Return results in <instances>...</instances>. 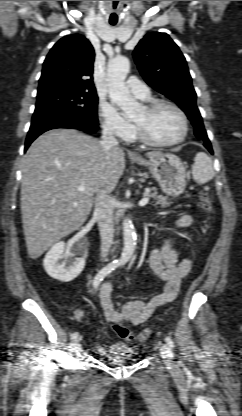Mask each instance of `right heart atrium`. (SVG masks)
<instances>
[{
	"instance_id": "right-heart-atrium-1",
	"label": "right heart atrium",
	"mask_w": 242,
	"mask_h": 416,
	"mask_svg": "<svg viewBox=\"0 0 242 416\" xmlns=\"http://www.w3.org/2000/svg\"><path fill=\"white\" fill-rule=\"evenodd\" d=\"M99 116L103 130L122 140H128L133 134L130 121L124 118L111 104L101 103Z\"/></svg>"
}]
</instances>
